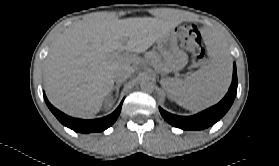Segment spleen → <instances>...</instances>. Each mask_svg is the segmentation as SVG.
Segmentation results:
<instances>
[{"instance_id":"obj_1","label":"spleen","mask_w":279,"mask_h":166,"mask_svg":"<svg viewBox=\"0 0 279 166\" xmlns=\"http://www.w3.org/2000/svg\"><path fill=\"white\" fill-rule=\"evenodd\" d=\"M204 37L208 64L184 79L161 80L169 97L188 110H200L217 103L231 82L232 62L227 48L211 32H204Z\"/></svg>"}]
</instances>
